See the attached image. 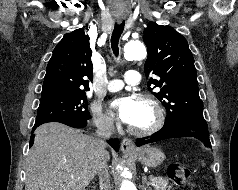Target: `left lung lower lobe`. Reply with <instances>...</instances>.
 Segmentation results:
<instances>
[{"mask_svg": "<svg viewBox=\"0 0 238 190\" xmlns=\"http://www.w3.org/2000/svg\"><path fill=\"white\" fill-rule=\"evenodd\" d=\"M183 136L195 137L202 141L204 145L211 147L208 126L201 113L179 116L171 122L165 123L163 128L157 131L149 139H138L136 145L142 146L168 138Z\"/></svg>", "mask_w": 238, "mask_h": 190, "instance_id": "left-lung-lower-lobe-1", "label": "left lung lower lobe"}]
</instances>
